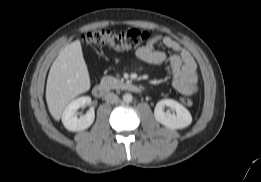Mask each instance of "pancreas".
Listing matches in <instances>:
<instances>
[{
	"mask_svg": "<svg viewBox=\"0 0 261 182\" xmlns=\"http://www.w3.org/2000/svg\"><path fill=\"white\" fill-rule=\"evenodd\" d=\"M101 84L107 89H119L125 85L123 79L119 80L112 76H104L101 79Z\"/></svg>",
	"mask_w": 261,
	"mask_h": 182,
	"instance_id": "obj_1",
	"label": "pancreas"
}]
</instances>
